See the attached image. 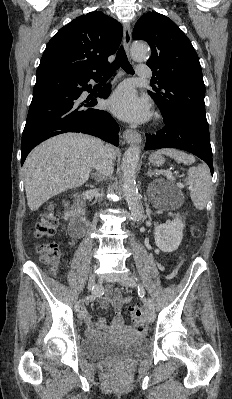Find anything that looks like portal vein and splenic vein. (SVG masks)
<instances>
[{
    "label": "portal vein and splenic vein",
    "mask_w": 232,
    "mask_h": 399,
    "mask_svg": "<svg viewBox=\"0 0 232 399\" xmlns=\"http://www.w3.org/2000/svg\"><path fill=\"white\" fill-rule=\"evenodd\" d=\"M165 176H168V178H171L172 174H171V172H167V174H165Z\"/></svg>",
    "instance_id": "obj_1"
}]
</instances>
